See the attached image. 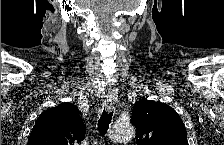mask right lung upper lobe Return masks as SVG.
<instances>
[{"mask_svg":"<svg viewBox=\"0 0 224 145\" xmlns=\"http://www.w3.org/2000/svg\"><path fill=\"white\" fill-rule=\"evenodd\" d=\"M85 133L77 106L64 102L40 114L28 145H76L84 140Z\"/></svg>","mask_w":224,"mask_h":145,"instance_id":"right-lung-upper-lobe-1","label":"right lung upper lobe"}]
</instances>
